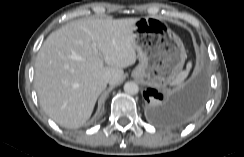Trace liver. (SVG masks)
Segmentation results:
<instances>
[{
    "label": "liver",
    "instance_id": "1",
    "mask_svg": "<svg viewBox=\"0 0 244 157\" xmlns=\"http://www.w3.org/2000/svg\"><path fill=\"white\" fill-rule=\"evenodd\" d=\"M137 21L79 19L47 37L36 57L34 85L51 119L66 128L85 124L106 88L102 76L109 74L110 83L116 85L123 68L136 62L133 30Z\"/></svg>",
    "mask_w": 244,
    "mask_h": 157
}]
</instances>
